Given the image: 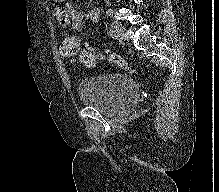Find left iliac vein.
Masks as SVG:
<instances>
[{"label":"left iliac vein","instance_id":"left-iliac-vein-1","mask_svg":"<svg viewBox=\"0 0 219 192\" xmlns=\"http://www.w3.org/2000/svg\"><path fill=\"white\" fill-rule=\"evenodd\" d=\"M114 33H115V38L119 41V42H122L123 41V38H124V34H125V27L120 24V23H117L115 26H114V29H113Z\"/></svg>","mask_w":219,"mask_h":192}]
</instances>
